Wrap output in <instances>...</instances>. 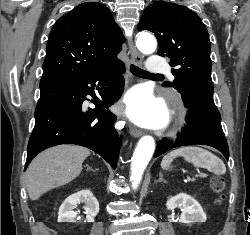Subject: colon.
<instances>
[{"label":"colon","mask_w":250,"mask_h":235,"mask_svg":"<svg viewBox=\"0 0 250 235\" xmlns=\"http://www.w3.org/2000/svg\"><path fill=\"white\" fill-rule=\"evenodd\" d=\"M211 188L215 193H221L224 188V180L219 176L213 177L211 179Z\"/></svg>","instance_id":"5ec220e1"}]
</instances>
